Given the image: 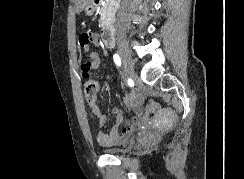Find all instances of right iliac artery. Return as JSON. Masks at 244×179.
<instances>
[{"label": "right iliac artery", "mask_w": 244, "mask_h": 179, "mask_svg": "<svg viewBox=\"0 0 244 179\" xmlns=\"http://www.w3.org/2000/svg\"><path fill=\"white\" fill-rule=\"evenodd\" d=\"M113 58H114V62L116 63V65L117 66H121V59H120L119 55L118 54H115L113 56Z\"/></svg>", "instance_id": "1"}]
</instances>
